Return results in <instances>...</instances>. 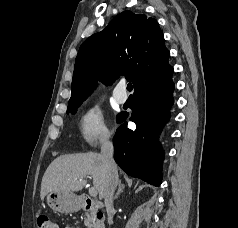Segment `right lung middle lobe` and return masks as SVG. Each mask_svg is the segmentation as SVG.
I'll return each mask as SVG.
<instances>
[{
    "instance_id": "right-lung-middle-lobe-1",
    "label": "right lung middle lobe",
    "mask_w": 238,
    "mask_h": 228,
    "mask_svg": "<svg viewBox=\"0 0 238 228\" xmlns=\"http://www.w3.org/2000/svg\"><path fill=\"white\" fill-rule=\"evenodd\" d=\"M81 104H68L67 108V113L71 112L72 114L76 113V109L80 106Z\"/></svg>"
}]
</instances>
